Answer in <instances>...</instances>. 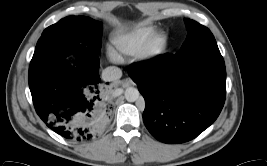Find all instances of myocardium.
Wrapping results in <instances>:
<instances>
[{"instance_id":"obj_1","label":"myocardium","mask_w":267,"mask_h":166,"mask_svg":"<svg viewBox=\"0 0 267 166\" xmlns=\"http://www.w3.org/2000/svg\"><path fill=\"white\" fill-rule=\"evenodd\" d=\"M168 44V34L165 31H157L139 51L138 57L145 61L156 60L166 52Z\"/></svg>"}]
</instances>
